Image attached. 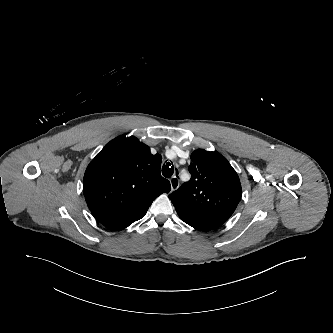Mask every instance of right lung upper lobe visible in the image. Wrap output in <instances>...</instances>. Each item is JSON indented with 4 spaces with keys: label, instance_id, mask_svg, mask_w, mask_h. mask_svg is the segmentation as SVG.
<instances>
[{
    "label": "right lung upper lobe",
    "instance_id": "obj_1",
    "mask_svg": "<svg viewBox=\"0 0 333 333\" xmlns=\"http://www.w3.org/2000/svg\"><path fill=\"white\" fill-rule=\"evenodd\" d=\"M161 160L133 136H119L106 144L88 165L83 179L92 215L112 230L141 219L152 202L171 189L160 174Z\"/></svg>",
    "mask_w": 333,
    "mask_h": 333
}]
</instances>
